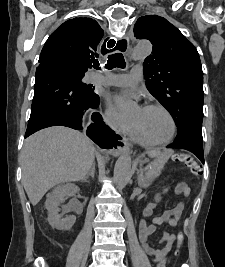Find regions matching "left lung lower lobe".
<instances>
[{"instance_id": "left-lung-lower-lobe-1", "label": "left lung lower lobe", "mask_w": 225, "mask_h": 267, "mask_svg": "<svg viewBox=\"0 0 225 267\" xmlns=\"http://www.w3.org/2000/svg\"><path fill=\"white\" fill-rule=\"evenodd\" d=\"M167 147L188 150L204 163L202 124H192L180 137H176L174 143Z\"/></svg>"}]
</instances>
